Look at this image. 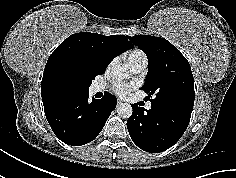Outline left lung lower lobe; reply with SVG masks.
<instances>
[{"mask_svg": "<svg viewBox=\"0 0 236 178\" xmlns=\"http://www.w3.org/2000/svg\"><path fill=\"white\" fill-rule=\"evenodd\" d=\"M133 113L127 120V129L132 141L150 153L163 152L172 147L184 134L192 110L151 104L146 110L131 105Z\"/></svg>", "mask_w": 236, "mask_h": 178, "instance_id": "left-lung-lower-lobe-1", "label": "left lung lower lobe"}]
</instances>
